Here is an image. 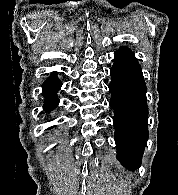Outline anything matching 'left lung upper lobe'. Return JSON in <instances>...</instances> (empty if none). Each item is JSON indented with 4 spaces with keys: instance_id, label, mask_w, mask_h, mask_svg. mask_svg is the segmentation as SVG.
<instances>
[{
    "instance_id": "obj_1",
    "label": "left lung upper lobe",
    "mask_w": 178,
    "mask_h": 195,
    "mask_svg": "<svg viewBox=\"0 0 178 195\" xmlns=\"http://www.w3.org/2000/svg\"><path fill=\"white\" fill-rule=\"evenodd\" d=\"M119 51H124V52H130V53H132V52L130 51V49L127 48V47H121V48L119 49Z\"/></svg>"
}]
</instances>
